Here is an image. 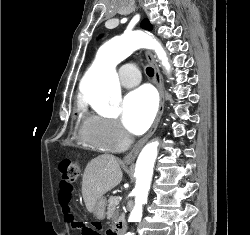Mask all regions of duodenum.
Listing matches in <instances>:
<instances>
[{"label": "duodenum", "instance_id": "1", "mask_svg": "<svg viewBox=\"0 0 250 235\" xmlns=\"http://www.w3.org/2000/svg\"><path fill=\"white\" fill-rule=\"evenodd\" d=\"M123 233H124V227L122 225H119L114 229L111 235H123Z\"/></svg>", "mask_w": 250, "mask_h": 235}]
</instances>
